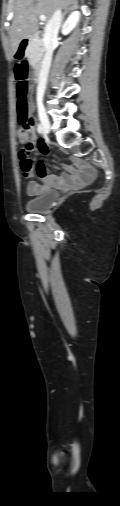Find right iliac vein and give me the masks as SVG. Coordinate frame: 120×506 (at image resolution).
<instances>
[{
	"label": "right iliac vein",
	"instance_id": "right-iliac-vein-1",
	"mask_svg": "<svg viewBox=\"0 0 120 506\" xmlns=\"http://www.w3.org/2000/svg\"><path fill=\"white\" fill-rule=\"evenodd\" d=\"M39 118H40V121H41V126L43 128V131L46 134H48L49 131H50V128H51L50 121H49V118H48L46 112L41 107L39 108Z\"/></svg>",
	"mask_w": 120,
	"mask_h": 506
}]
</instances>
